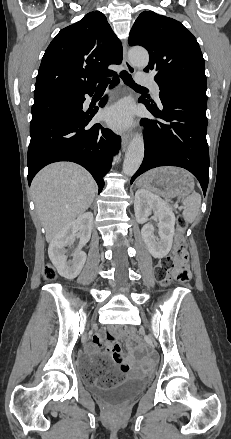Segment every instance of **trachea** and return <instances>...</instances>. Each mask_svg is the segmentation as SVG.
<instances>
[{
  "label": "trachea",
  "mask_w": 231,
  "mask_h": 439,
  "mask_svg": "<svg viewBox=\"0 0 231 439\" xmlns=\"http://www.w3.org/2000/svg\"><path fill=\"white\" fill-rule=\"evenodd\" d=\"M120 76H121L123 82H124L127 86H129V87H131V88H134V89L147 90V88L142 87V86H140V85H137V84L134 82V80H133V78L131 77V75H130L127 71H125V70L121 71V72H120ZM109 82H110V79H109V78L102 79V80L99 82L98 87H106V86L109 84Z\"/></svg>",
  "instance_id": "1"
}]
</instances>
